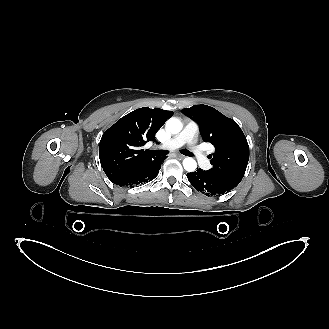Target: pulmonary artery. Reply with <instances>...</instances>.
Segmentation results:
<instances>
[{
  "label": "pulmonary artery",
  "mask_w": 329,
  "mask_h": 329,
  "mask_svg": "<svg viewBox=\"0 0 329 329\" xmlns=\"http://www.w3.org/2000/svg\"><path fill=\"white\" fill-rule=\"evenodd\" d=\"M198 129V124L196 122H188L179 134L163 144V148L173 150L186 144L189 151H191L192 155L197 159L199 166L203 169H208L210 163L197 144Z\"/></svg>",
  "instance_id": "e3ab8cb5"
}]
</instances>
